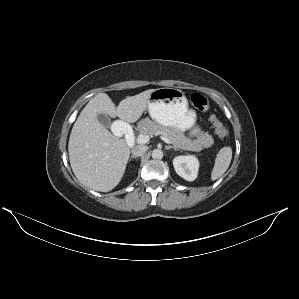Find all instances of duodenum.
Here are the masks:
<instances>
[{"mask_svg":"<svg viewBox=\"0 0 299 299\" xmlns=\"http://www.w3.org/2000/svg\"><path fill=\"white\" fill-rule=\"evenodd\" d=\"M119 125L121 128V130H124L127 132V136H126V140L129 146H134L135 145V141H134V136L132 132H128L125 128H124V123L122 122V120H119Z\"/></svg>","mask_w":299,"mask_h":299,"instance_id":"1","label":"duodenum"}]
</instances>
